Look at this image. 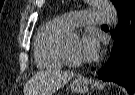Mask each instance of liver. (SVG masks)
<instances>
[{
  "label": "liver",
  "mask_w": 135,
  "mask_h": 95,
  "mask_svg": "<svg viewBox=\"0 0 135 95\" xmlns=\"http://www.w3.org/2000/svg\"><path fill=\"white\" fill-rule=\"evenodd\" d=\"M74 77L73 72L46 70L37 73L24 88L25 95H51Z\"/></svg>",
  "instance_id": "1"
}]
</instances>
